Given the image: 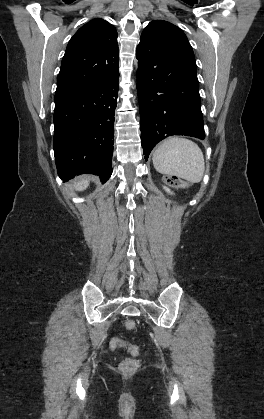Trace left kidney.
<instances>
[{"mask_svg": "<svg viewBox=\"0 0 264 419\" xmlns=\"http://www.w3.org/2000/svg\"><path fill=\"white\" fill-rule=\"evenodd\" d=\"M164 189H165L168 193H170V189H169V188L164 187Z\"/></svg>", "mask_w": 264, "mask_h": 419, "instance_id": "left-kidney-1", "label": "left kidney"}]
</instances>
